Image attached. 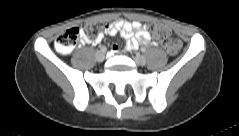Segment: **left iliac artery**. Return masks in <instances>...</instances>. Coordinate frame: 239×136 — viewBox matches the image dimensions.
Wrapping results in <instances>:
<instances>
[{"instance_id":"obj_1","label":"left iliac artery","mask_w":239,"mask_h":136,"mask_svg":"<svg viewBox=\"0 0 239 136\" xmlns=\"http://www.w3.org/2000/svg\"><path fill=\"white\" fill-rule=\"evenodd\" d=\"M141 51H142V52H146V48H142Z\"/></svg>"}]
</instances>
